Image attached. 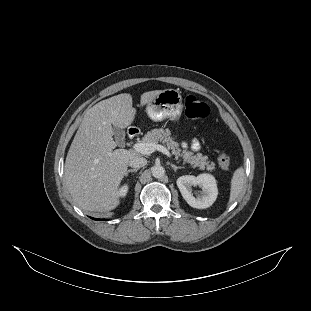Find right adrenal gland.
I'll return each instance as SVG.
<instances>
[{"instance_id": "2a0ac1e0", "label": "right adrenal gland", "mask_w": 311, "mask_h": 311, "mask_svg": "<svg viewBox=\"0 0 311 311\" xmlns=\"http://www.w3.org/2000/svg\"><path fill=\"white\" fill-rule=\"evenodd\" d=\"M139 169H129L126 173L125 176H128V174L131 172H137Z\"/></svg>"}]
</instances>
